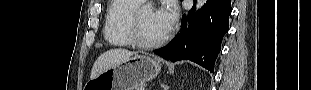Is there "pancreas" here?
Returning a JSON list of instances; mask_svg holds the SVG:
<instances>
[{"instance_id":"cf45deb5","label":"pancreas","mask_w":311,"mask_h":90,"mask_svg":"<svg viewBox=\"0 0 311 90\" xmlns=\"http://www.w3.org/2000/svg\"><path fill=\"white\" fill-rule=\"evenodd\" d=\"M137 90H143L142 86L140 88H138Z\"/></svg>"}]
</instances>
